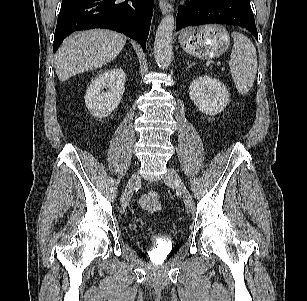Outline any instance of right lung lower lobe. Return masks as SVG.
Returning a JSON list of instances; mask_svg holds the SVG:
<instances>
[{
  "label": "right lung lower lobe",
  "mask_w": 307,
  "mask_h": 301,
  "mask_svg": "<svg viewBox=\"0 0 307 301\" xmlns=\"http://www.w3.org/2000/svg\"><path fill=\"white\" fill-rule=\"evenodd\" d=\"M152 12L153 0H63L53 51L72 32L91 28L121 32L145 49Z\"/></svg>",
  "instance_id": "right-lung-lower-lobe-1"
}]
</instances>
